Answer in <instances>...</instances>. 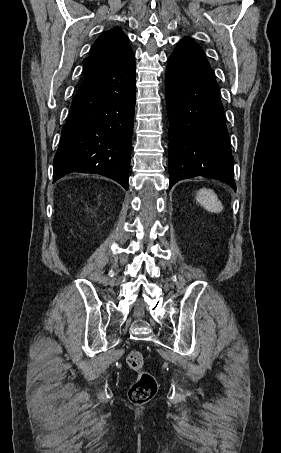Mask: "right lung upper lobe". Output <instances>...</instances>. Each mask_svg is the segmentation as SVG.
I'll return each mask as SVG.
<instances>
[{
  "label": "right lung upper lobe",
  "mask_w": 281,
  "mask_h": 453,
  "mask_svg": "<svg viewBox=\"0 0 281 453\" xmlns=\"http://www.w3.org/2000/svg\"><path fill=\"white\" fill-rule=\"evenodd\" d=\"M128 37L119 27L103 32L94 42L89 56L83 60V77H90L111 68L132 52Z\"/></svg>",
  "instance_id": "obj_1"
}]
</instances>
